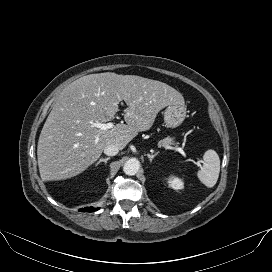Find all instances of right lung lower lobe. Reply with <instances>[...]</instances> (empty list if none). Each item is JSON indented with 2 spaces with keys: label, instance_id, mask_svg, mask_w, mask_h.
<instances>
[{
  "label": "right lung lower lobe",
  "instance_id": "1",
  "mask_svg": "<svg viewBox=\"0 0 272 272\" xmlns=\"http://www.w3.org/2000/svg\"><path fill=\"white\" fill-rule=\"evenodd\" d=\"M96 210H98V208L85 207V208H81L79 211H81V212H94Z\"/></svg>",
  "mask_w": 272,
  "mask_h": 272
}]
</instances>
